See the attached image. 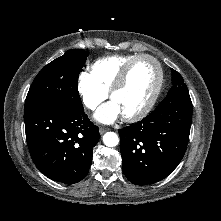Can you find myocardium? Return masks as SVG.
<instances>
[{
    "label": "myocardium",
    "mask_w": 221,
    "mask_h": 221,
    "mask_svg": "<svg viewBox=\"0 0 221 221\" xmlns=\"http://www.w3.org/2000/svg\"><path fill=\"white\" fill-rule=\"evenodd\" d=\"M150 60L152 61L156 68H157V72H158V80H157V84L156 87L152 93V95L150 96L149 100L147 101V103L143 106L142 109H140L138 112L134 113V114H130V115H123V119L127 122H135L138 120H141L142 118H144L153 108V106L155 105L161 90L163 88V84H164V71H163V67L161 65V63L154 57L148 54H140L137 55L136 57H134L133 59H131L120 71L119 75L117 76L114 84L112 85L111 89L109 90V97L110 99H112L113 95L118 92L126 83V80L128 78V75L132 69V67L140 60Z\"/></svg>",
    "instance_id": "f54148a6"
}]
</instances>
